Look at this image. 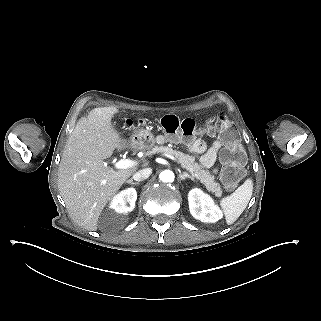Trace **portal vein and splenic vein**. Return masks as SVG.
Masks as SVG:
<instances>
[{
    "instance_id": "1",
    "label": "portal vein and splenic vein",
    "mask_w": 321,
    "mask_h": 321,
    "mask_svg": "<svg viewBox=\"0 0 321 321\" xmlns=\"http://www.w3.org/2000/svg\"><path fill=\"white\" fill-rule=\"evenodd\" d=\"M161 156L168 157L170 160H174L175 162H178V159L174 155L161 153ZM135 164L136 162L130 159H121L118 162H116L115 167L118 169H127L129 167L134 166Z\"/></svg>"
}]
</instances>
